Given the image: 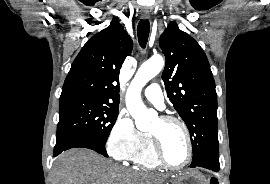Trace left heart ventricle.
I'll return each mask as SVG.
<instances>
[{
    "mask_svg": "<svg viewBox=\"0 0 270 184\" xmlns=\"http://www.w3.org/2000/svg\"><path fill=\"white\" fill-rule=\"evenodd\" d=\"M150 133L158 136L161 140L165 159L171 165L182 164L187 157V143L183 130L175 123H163L157 119Z\"/></svg>",
    "mask_w": 270,
    "mask_h": 184,
    "instance_id": "obj_1",
    "label": "left heart ventricle"
}]
</instances>
